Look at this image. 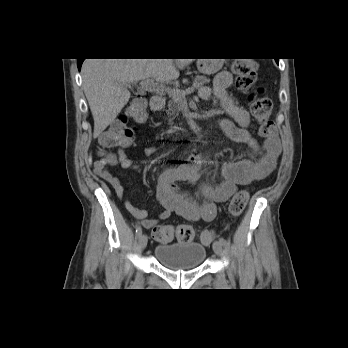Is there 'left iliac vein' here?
<instances>
[{"label":"left iliac vein","mask_w":348,"mask_h":348,"mask_svg":"<svg viewBox=\"0 0 348 348\" xmlns=\"http://www.w3.org/2000/svg\"><path fill=\"white\" fill-rule=\"evenodd\" d=\"M213 250L218 256L223 254V245L220 243V241H215L213 243Z\"/></svg>","instance_id":"obj_1"}]
</instances>
